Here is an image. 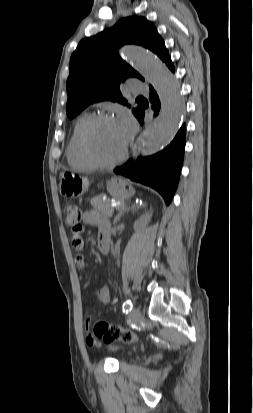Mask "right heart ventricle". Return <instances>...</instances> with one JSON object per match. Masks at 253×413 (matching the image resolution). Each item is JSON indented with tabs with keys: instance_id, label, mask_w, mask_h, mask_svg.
<instances>
[{
	"instance_id": "1",
	"label": "right heart ventricle",
	"mask_w": 253,
	"mask_h": 413,
	"mask_svg": "<svg viewBox=\"0 0 253 413\" xmlns=\"http://www.w3.org/2000/svg\"><path fill=\"white\" fill-rule=\"evenodd\" d=\"M89 118L90 116L88 114H83L76 120L66 147V157L68 163L71 166L80 169L94 168V166L84 158L79 147V134L81 128Z\"/></svg>"
}]
</instances>
